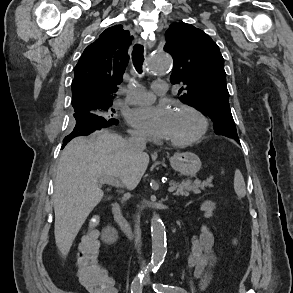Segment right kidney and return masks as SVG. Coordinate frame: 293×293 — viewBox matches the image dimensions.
Instances as JSON below:
<instances>
[{
	"label": "right kidney",
	"instance_id": "obj_1",
	"mask_svg": "<svg viewBox=\"0 0 293 293\" xmlns=\"http://www.w3.org/2000/svg\"><path fill=\"white\" fill-rule=\"evenodd\" d=\"M118 236L115 230L107 229L104 234V240L108 244H112L117 240Z\"/></svg>",
	"mask_w": 293,
	"mask_h": 293
}]
</instances>
